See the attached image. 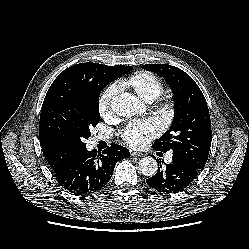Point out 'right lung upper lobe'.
<instances>
[{
  "instance_id": "right-lung-upper-lobe-1",
  "label": "right lung upper lobe",
  "mask_w": 249,
  "mask_h": 249,
  "mask_svg": "<svg viewBox=\"0 0 249 249\" xmlns=\"http://www.w3.org/2000/svg\"><path fill=\"white\" fill-rule=\"evenodd\" d=\"M64 72L89 83H97L102 79V70L100 64L97 63L76 64L67 68ZM40 143L44 156L54 172L60 170L79 153L65 144L45 140H40Z\"/></svg>"
}]
</instances>
